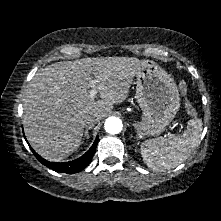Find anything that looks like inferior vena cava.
Returning <instances> with one entry per match:
<instances>
[{
  "instance_id": "inferior-vena-cava-1",
  "label": "inferior vena cava",
  "mask_w": 221,
  "mask_h": 221,
  "mask_svg": "<svg viewBox=\"0 0 221 221\" xmlns=\"http://www.w3.org/2000/svg\"><path fill=\"white\" fill-rule=\"evenodd\" d=\"M99 121L98 117L95 115H86L84 117V125L88 128H92Z\"/></svg>"
}]
</instances>
